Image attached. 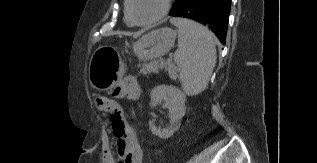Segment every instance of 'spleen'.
Here are the masks:
<instances>
[{
  "mask_svg": "<svg viewBox=\"0 0 317 163\" xmlns=\"http://www.w3.org/2000/svg\"><path fill=\"white\" fill-rule=\"evenodd\" d=\"M178 28V49L174 61L180 71L179 79L187 95L204 91L216 64L213 34L204 26L185 18H172Z\"/></svg>",
  "mask_w": 317,
  "mask_h": 163,
  "instance_id": "obj_1",
  "label": "spleen"
}]
</instances>
